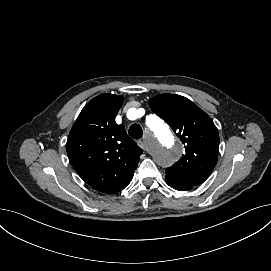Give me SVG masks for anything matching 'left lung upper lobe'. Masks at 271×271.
Wrapping results in <instances>:
<instances>
[{
  "instance_id": "left-lung-upper-lobe-1",
  "label": "left lung upper lobe",
  "mask_w": 271,
  "mask_h": 271,
  "mask_svg": "<svg viewBox=\"0 0 271 271\" xmlns=\"http://www.w3.org/2000/svg\"><path fill=\"white\" fill-rule=\"evenodd\" d=\"M149 105L185 145V154L166 168V176L200 185L209 177L218 158L219 134L213 121L192 101L180 95H157Z\"/></svg>"
}]
</instances>
